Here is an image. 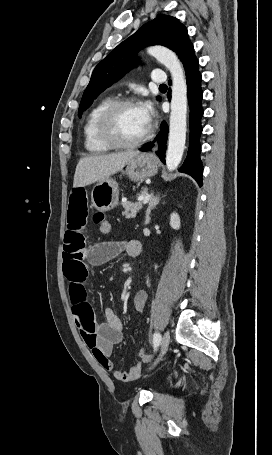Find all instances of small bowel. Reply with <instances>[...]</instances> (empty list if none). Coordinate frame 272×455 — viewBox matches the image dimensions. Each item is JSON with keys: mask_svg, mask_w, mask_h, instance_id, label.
<instances>
[{"mask_svg": "<svg viewBox=\"0 0 272 455\" xmlns=\"http://www.w3.org/2000/svg\"><path fill=\"white\" fill-rule=\"evenodd\" d=\"M88 205L84 188L74 189L68 205L67 227L64 236V275L69 283L72 314L87 347L98 363L119 381H132L141 376L140 365L129 371L115 367L111 360L114 345L123 339V323L112 308L104 311L105 321L96 320L87 290L90 266L101 265L125 252L136 258L141 254V244L136 240L104 241L87 246L84 228ZM147 292L138 290L132 300L135 310L142 311L147 302Z\"/></svg>", "mask_w": 272, "mask_h": 455, "instance_id": "1", "label": "small bowel"}]
</instances>
